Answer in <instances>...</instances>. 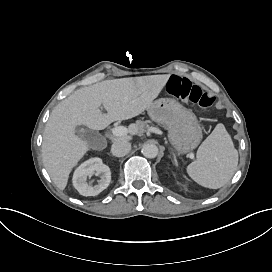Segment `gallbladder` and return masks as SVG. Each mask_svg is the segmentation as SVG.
I'll list each match as a JSON object with an SVG mask.
<instances>
[{"label": "gallbladder", "instance_id": "obj_1", "mask_svg": "<svg viewBox=\"0 0 272 272\" xmlns=\"http://www.w3.org/2000/svg\"><path fill=\"white\" fill-rule=\"evenodd\" d=\"M77 134L81 139L86 141L90 147H93L96 138L104 140L98 132L87 128L78 129Z\"/></svg>", "mask_w": 272, "mask_h": 272}]
</instances>
